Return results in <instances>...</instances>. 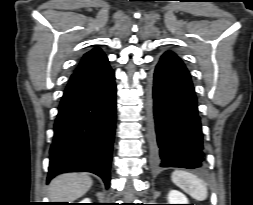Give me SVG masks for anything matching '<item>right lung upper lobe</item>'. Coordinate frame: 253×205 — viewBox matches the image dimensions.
Masks as SVG:
<instances>
[{
    "label": "right lung upper lobe",
    "mask_w": 253,
    "mask_h": 205,
    "mask_svg": "<svg viewBox=\"0 0 253 205\" xmlns=\"http://www.w3.org/2000/svg\"><path fill=\"white\" fill-rule=\"evenodd\" d=\"M106 59H107V57L102 52V50L100 48L96 47V48L92 49L91 51L87 52L83 56V58H82V60L79 64V66L77 67L76 71H80V70L89 68L91 66L96 65L99 62H102V61L106 60Z\"/></svg>",
    "instance_id": "right-lung-upper-lobe-1"
}]
</instances>
